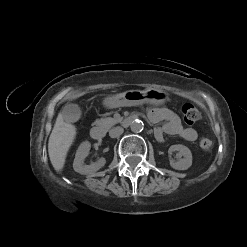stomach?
<instances>
[{
    "mask_svg": "<svg viewBox=\"0 0 247 247\" xmlns=\"http://www.w3.org/2000/svg\"><path fill=\"white\" fill-rule=\"evenodd\" d=\"M167 100L168 94L162 90H130L105 98L104 105L108 108L137 106L142 104L162 105Z\"/></svg>",
    "mask_w": 247,
    "mask_h": 247,
    "instance_id": "obj_1",
    "label": "stomach"
}]
</instances>
